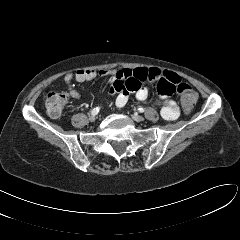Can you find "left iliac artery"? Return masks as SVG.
Here are the masks:
<instances>
[{
	"instance_id": "obj_1",
	"label": "left iliac artery",
	"mask_w": 240,
	"mask_h": 240,
	"mask_svg": "<svg viewBox=\"0 0 240 240\" xmlns=\"http://www.w3.org/2000/svg\"><path fill=\"white\" fill-rule=\"evenodd\" d=\"M144 111H145L144 108H138V112H139V113H143Z\"/></svg>"
}]
</instances>
